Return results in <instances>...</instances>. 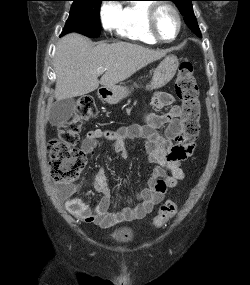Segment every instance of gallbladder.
<instances>
[{
    "label": "gallbladder",
    "instance_id": "gallbladder-1",
    "mask_svg": "<svg viewBox=\"0 0 250 285\" xmlns=\"http://www.w3.org/2000/svg\"><path fill=\"white\" fill-rule=\"evenodd\" d=\"M75 110V100L73 98L57 101L49 111V122L52 125H59L67 122Z\"/></svg>",
    "mask_w": 250,
    "mask_h": 285
}]
</instances>
